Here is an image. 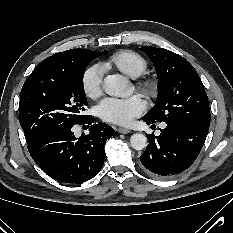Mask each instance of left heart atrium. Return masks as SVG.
I'll use <instances>...</instances> for the list:
<instances>
[{
    "mask_svg": "<svg viewBox=\"0 0 233 233\" xmlns=\"http://www.w3.org/2000/svg\"><path fill=\"white\" fill-rule=\"evenodd\" d=\"M145 109L144 101L137 95L129 98L107 97L97 106V113L107 122L128 125Z\"/></svg>",
    "mask_w": 233,
    "mask_h": 233,
    "instance_id": "39dd6f15",
    "label": "left heart atrium"
}]
</instances>
